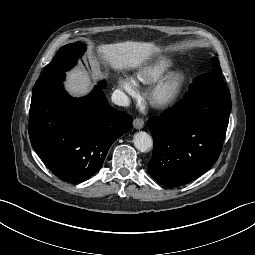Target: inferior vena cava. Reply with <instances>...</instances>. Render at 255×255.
Here are the masks:
<instances>
[{"instance_id":"inferior-vena-cava-1","label":"inferior vena cava","mask_w":255,"mask_h":255,"mask_svg":"<svg viewBox=\"0 0 255 255\" xmlns=\"http://www.w3.org/2000/svg\"><path fill=\"white\" fill-rule=\"evenodd\" d=\"M111 100L118 106L127 107L130 104L128 96L123 91L118 89L112 93Z\"/></svg>"}]
</instances>
